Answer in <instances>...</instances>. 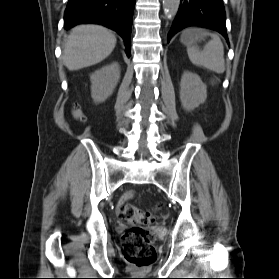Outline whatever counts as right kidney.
<instances>
[{
  "label": "right kidney",
  "mask_w": 279,
  "mask_h": 279,
  "mask_svg": "<svg viewBox=\"0 0 279 279\" xmlns=\"http://www.w3.org/2000/svg\"><path fill=\"white\" fill-rule=\"evenodd\" d=\"M120 79V67L117 62L95 71L91 77V97L95 103L104 102L109 98Z\"/></svg>",
  "instance_id": "obj_1"
}]
</instances>
